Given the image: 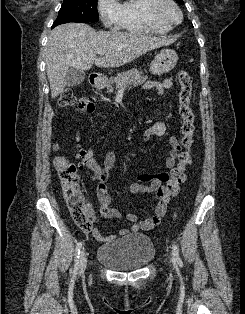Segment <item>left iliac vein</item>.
Returning <instances> with one entry per match:
<instances>
[{"mask_svg":"<svg viewBox=\"0 0 245 314\" xmlns=\"http://www.w3.org/2000/svg\"><path fill=\"white\" fill-rule=\"evenodd\" d=\"M170 263L173 264V259L172 258H170Z\"/></svg>","mask_w":245,"mask_h":314,"instance_id":"left-iliac-vein-1","label":"left iliac vein"}]
</instances>
